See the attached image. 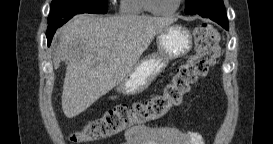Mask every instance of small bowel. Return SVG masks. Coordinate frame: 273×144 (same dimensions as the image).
Segmentation results:
<instances>
[{
    "label": "small bowel",
    "instance_id": "small-bowel-1",
    "mask_svg": "<svg viewBox=\"0 0 273 144\" xmlns=\"http://www.w3.org/2000/svg\"><path fill=\"white\" fill-rule=\"evenodd\" d=\"M202 136L176 127H134L124 132L118 144H203Z\"/></svg>",
    "mask_w": 273,
    "mask_h": 144
}]
</instances>
